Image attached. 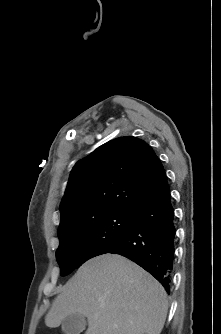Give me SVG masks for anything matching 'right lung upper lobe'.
Returning <instances> with one entry per match:
<instances>
[{
    "label": "right lung upper lobe",
    "mask_w": 221,
    "mask_h": 334,
    "mask_svg": "<svg viewBox=\"0 0 221 334\" xmlns=\"http://www.w3.org/2000/svg\"><path fill=\"white\" fill-rule=\"evenodd\" d=\"M166 184L163 165L147 143L131 136L109 141L73 167L60 204L58 236L101 214H134Z\"/></svg>",
    "instance_id": "1"
}]
</instances>
